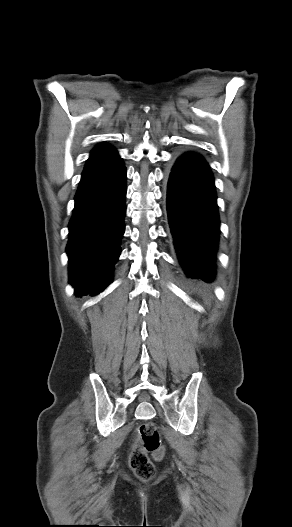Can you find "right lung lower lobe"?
Segmentation results:
<instances>
[{"label": "right lung lower lobe", "mask_w": 292, "mask_h": 527, "mask_svg": "<svg viewBox=\"0 0 292 527\" xmlns=\"http://www.w3.org/2000/svg\"><path fill=\"white\" fill-rule=\"evenodd\" d=\"M126 169L117 151L100 144L86 162L69 222V282L75 294L95 295L113 277L125 231Z\"/></svg>", "instance_id": "obj_1"}]
</instances>
